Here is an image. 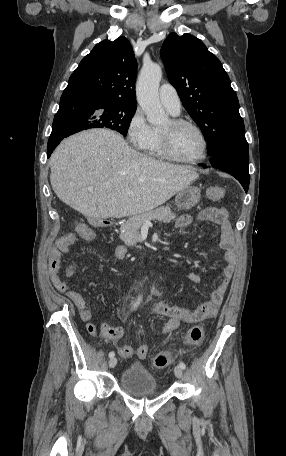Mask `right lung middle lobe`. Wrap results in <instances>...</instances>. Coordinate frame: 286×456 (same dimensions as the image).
<instances>
[{
    "label": "right lung middle lobe",
    "instance_id": "right-lung-middle-lobe-1",
    "mask_svg": "<svg viewBox=\"0 0 286 456\" xmlns=\"http://www.w3.org/2000/svg\"><path fill=\"white\" fill-rule=\"evenodd\" d=\"M136 106L110 102L105 99L81 96L75 104L73 119L65 129L66 136L81 130L106 127L126 136Z\"/></svg>",
    "mask_w": 286,
    "mask_h": 456
}]
</instances>
